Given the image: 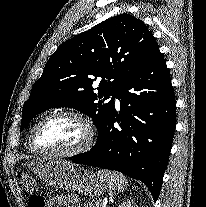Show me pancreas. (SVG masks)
I'll use <instances>...</instances> for the list:
<instances>
[{"label":"pancreas","mask_w":206,"mask_h":207,"mask_svg":"<svg viewBox=\"0 0 206 207\" xmlns=\"http://www.w3.org/2000/svg\"><path fill=\"white\" fill-rule=\"evenodd\" d=\"M101 206V201L97 200L95 202H87L84 204V207H100Z\"/></svg>","instance_id":"cf45deb5"}]
</instances>
